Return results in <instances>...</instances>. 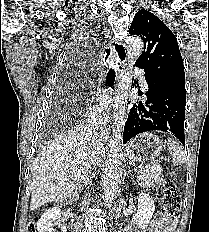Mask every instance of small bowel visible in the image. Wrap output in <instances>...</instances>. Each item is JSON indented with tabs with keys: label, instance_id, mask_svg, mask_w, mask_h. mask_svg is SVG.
Returning a JSON list of instances; mask_svg holds the SVG:
<instances>
[{
	"label": "small bowel",
	"instance_id": "1",
	"mask_svg": "<svg viewBox=\"0 0 209 232\" xmlns=\"http://www.w3.org/2000/svg\"><path fill=\"white\" fill-rule=\"evenodd\" d=\"M174 227V222L167 221L164 218H157L149 227L143 229L141 232H173ZM125 230L129 231V228H126Z\"/></svg>",
	"mask_w": 209,
	"mask_h": 232
}]
</instances>
